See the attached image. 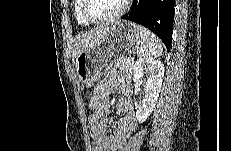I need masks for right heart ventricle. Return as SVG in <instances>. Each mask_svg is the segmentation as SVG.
Returning <instances> with one entry per match:
<instances>
[{
  "label": "right heart ventricle",
  "mask_w": 231,
  "mask_h": 151,
  "mask_svg": "<svg viewBox=\"0 0 231 151\" xmlns=\"http://www.w3.org/2000/svg\"><path fill=\"white\" fill-rule=\"evenodd\" d=\"M74 13L76 20L81 25H88L89 22L84 19L81 13V0H76L74 5Z\"/></svg>",
  "instance_id": "1"
}]
</instances>
